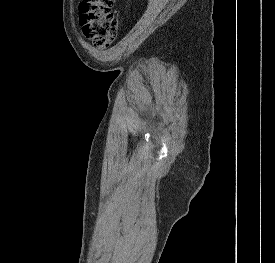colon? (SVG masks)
<instances>
[{
	"instance_id": "5ec220e1",
	"label": "colon",
	"mask_w": 275,
	"mask_h": 263,
	"mask_svg": "<svg viewBox=\"0 0 275 263\" xmlns=\"http://www.w3.org/2000/svg\"><path fill=\"white\" fill-rule=\"evenodd\" d=\"M114 0H82L79 5L83 33L96 44H107L117 36Z\"/></svg>"
}]
</instances>
